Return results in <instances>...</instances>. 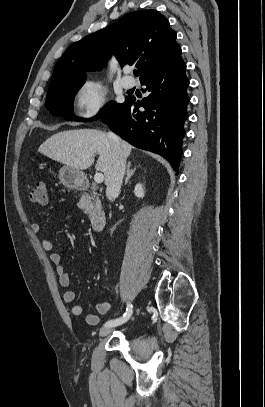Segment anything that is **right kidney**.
<instances>
[{"label":"right kidney","mask_w":265,"mask_h":407,"mask_svg":"<svg viewBox=\"0 0 265 407\" xmlns=\"http://www.w3.org/2000/svg\"><path fill=\"white\" fill-rule=\"evenodd\" d=\"M134 194H135V196H137L138 198H143V197H144L145 191H144V188H143V185H142V184L138 183V184L135 186Z\"/></svg>","instance_id":"obj_1"}]
</instances>
